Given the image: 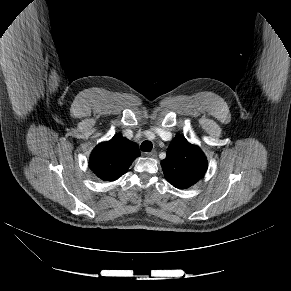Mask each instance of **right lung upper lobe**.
<instances>
[{"label":"right lung upper lobe","instance_id":"1","mask_svg":"<svg viewBox=\"0 0 291 291\" xmlns=\"http://www.w3.org/2000/svg\"><path fill=\"white\" fill-rule=\"evenodd\" d=\"M138 156V146L118 133L111 140L96 146L91 153L89 164L98 178L115 181L127 172Z\"/></svg>","mask_w":291,"mask_h":291}]
</instances>
